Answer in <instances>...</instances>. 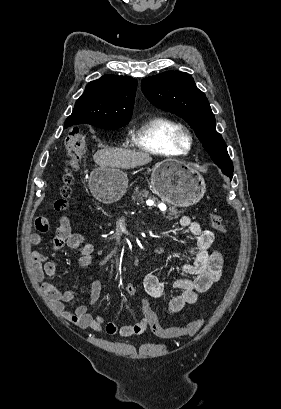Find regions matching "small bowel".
Instances as JSON below:
<instances>
[{
  "label": "small bowel",
  "mask_w": 281,
  "mask_h": 409,
  "mask_svg": "<svg viewBox=\"0 0 281 409\" xmlns=\"http://www.w3.org/2000/svg\"><path fill=\"white\" fill-rule=\"evenodd\" d=\"M46 221L45 215H38L34 226H29V244L38 245L42 242L41 235H49L50 224ZM179 224L193 236V243L190 247L192 261L182 268L188 274V277L178 279L174 283L175 288L180 290V293L167 304L166 310L169 315H176L186 305L196 303L198 295L206 292L220 279L223 269L221 252L218 250L209 251L214 241L212 231L203 228L189 216H182ZM65 247L80 254L78 263L81 268H85L90 264L94 245L87 242L82 234L73 232L69 219L63 216L56 229L51 250L58 251ZM31 257L35 264L36 277L42 283L45 295L55 304L64 319L82 329H92L109 335L129 337L141 334L147 327H150L153 320H157L155 312L145 300L141 301L144 317L131 325L119 326L115 322H106L99 315L91 314L90 307L98 302L102 291V284L97 279L91 282L90 292L86 296V303L79 305L71 312L67 309V306L78 293L73 289L61 290L45 280V276L54 277L57 275L59 272L58 264L49 261L48 254L41 250H34ZM143 288L152 297L162 296L165 290L163 282L155 272H150L144 277ZM125 292L129 296H135L137 294L136 286L127 284Z\"/></svg>",
  "instance_id": "obj_1"
}]
</instances>
